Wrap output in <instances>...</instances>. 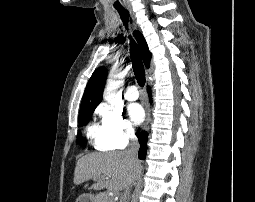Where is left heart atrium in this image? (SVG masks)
Returning <instances> with one entry per match:
<instances>
[{
	"label": "left heart atrium",
	"mask_w": 255,
	"mask_h": 202,
	"mask_svg": "<svg viewBox=\"0 0 255 202\" xmlns=\"http://www.w3.org/2000/svg\"><path fill=\"white\" fill-rule=\"evenodd\" d=\"M127 111H128L130 119L135 124L141 123L145 117L144 109L142 108L141 105H139L137 103H132V104L128 105Z\"/></svg>",
	"instance_id": "39dd6f15"
}]
</instances>
